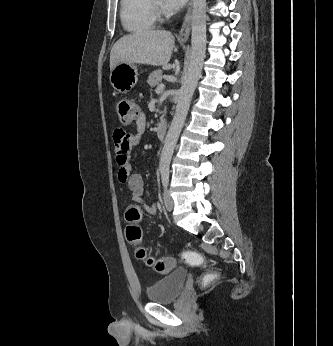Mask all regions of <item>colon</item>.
Segmentation results:
<instances>
[{"instance_id":"1","label":"colon","mask_w":333,"mask_h":346,"mask_svg":"<svg viewBox=\"0 0 333 346\" xmlns=\"http://www.w3.org/2000/svg\"><path fill=\"white\" fill-rule=\"evenodd\" d=\"M117 114L120 121L124 125L131 124L138 117V109L137 106L130 100L122 99L117 103ZM141 218L140 208L139 206L133 204L128 207L125 213V219L128 222V226L126 228V237L129 244L135 248L136 257L139 260H142L146 263L147 266L155 269L158 273L165 274L170 272L176 265V262L173 258L170 257H162V258H154L147 255L146 250L141 246L142 243V232L138 225ZM200 249H189L187 253H180V260H198V261H189V268H197L201 270L204 267V262L199 261L201 258ZM209 280H218V273H209ZM208 278H205V281H198V288H209L210 282L207 281Z\"/></svg>"}]
</instances>
